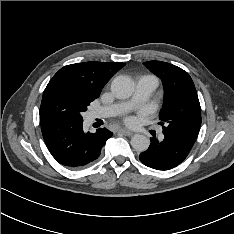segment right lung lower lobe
Instances as JSON below:
<instances>
[{
  "instance_id": "obj_1",
  "label": "right lung lower lobe",
  "mask_w": 234,
  "mask_h": 234,
  "mask_svg": "<svg viewBox=\"0 0 234 234\" xmlns=\"http://www.w3.org/2000/svg\"><path fill=\"white\" fill-rule=\"evenodd\" d=\"M46 146L60 164L82 168L96 160L111 133L99 128L95 133L83 131V120H55L41 125Z\"/></svg>"
}]
</instances>
